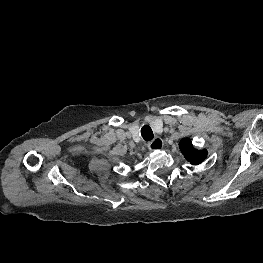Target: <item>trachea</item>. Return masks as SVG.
Returning a JSON list of instances; mask_svg holds the SVG:
<instances>
[{"label": "trachea", "instance_id": "trachea-1", "mask_svg": "<svg viewBox=\"0 0 263 263\" xmlns=\"http://www.w3.org/2000/svg\"><path fill=\"white\" fill-rule=\"evenodd\" d=\"M141 135L146 142L151 141L154 138L153 131L148 125L141 128Z\"/></svg>", "mask_w": 263, "mask_h": 263}]
</instances>
